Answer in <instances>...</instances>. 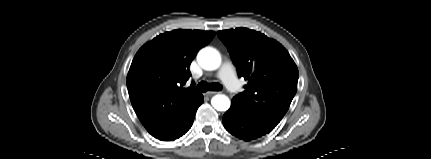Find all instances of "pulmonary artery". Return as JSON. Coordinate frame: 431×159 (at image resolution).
I'll return each instance as SVG.
<instances>
[{
	"mask_svg": "<svg viewBox=\"0 0 431 159\" xmlns=\"http://www.w3.org/2000/svg\"><path fill=\"white\" fill-rule=\"evenodd\" d=\"M217 77L231 92L237 93L241 90V84L237 78L235 68L230 61H225L221 65Z\"/></svg>",
	"mask_w": 431,
	"mask_h": 159,
	"instance_id": "pulmonary-artery-1",
	"label": "pulmonary artery"
}]
</instances>
